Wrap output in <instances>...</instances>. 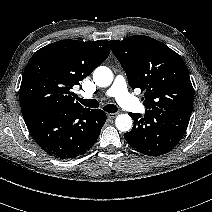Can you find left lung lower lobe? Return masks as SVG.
I'll return each instance as SVG.
<instances>
[{
  "label": "left lung lower lobe",
  "mask_w": 212,
  "mask_h": 212,
  "mask_svg": "<svg viewBox=\"0 0 212 212\" xmlns=\"http://www.w3.org/2000/svg\"><path fill=\"white\" fill-rule=\"evenodd\" d=\"M129 115L134 126L124 134L128 144L142 154L160 156L174 149L182 139L191 113L152 108L143 117L136 113Z\"/></svg>",
  "instance_id": "1"
}]
</instances>
